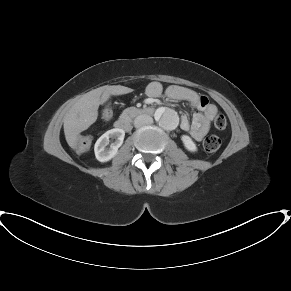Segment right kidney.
Returning <instances> with one entry per match:
<instances>
[{"label": "right kidney", "instance_id": "obj_1", "mask_svg": "<svg viewBox=\"0 0 291 291\" xmlns=\"http://www.w3.org/2000/svg\"><path fill=\"white\" fill-rule=\"evenodd\" d=\"M124 136L125 131L119 128L105 132L95 143L96 159L100 162L111 160L117 154L118 148L123 144Z\"/></svg>", "mask_w": 291, "mask_h": 291}]
</instances>
